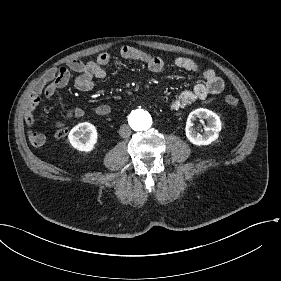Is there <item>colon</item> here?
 Masks as SVG:
<instances>
[{
    "label": "colon",
    "instance_id": "obj_1",
    "mask_svg": "<svg viewBox=\"0 0 281 281\" xmlns=\"http://www.w3.org/2000/svg\"><path fill=\"white\" fill-rule=\"evenodd\" d=\"M225 103L226 105H228L229 107H234L238 104V98L234 97V96H226L225 97ZM65 130L63 127H60L58 132H57V137H63L65 135Z\"/></svg>",
    "mask_w": 281,
    "mask_h": 281
}]
</instances>
